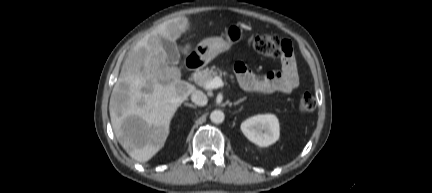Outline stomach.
I'll return each mask as SVG.
<instances>
[{
  "mask_svg": "<svg viewBox=\"0 0 432 193\" xmlns=\"http://www.w3.org/2000/svg\"><path fill=\"white\" fill-rule=\"evenodd\" d=\"M226 40L222 37L203 39L195 49L196 54L205 63L210 62L220 53L231 48L243 38V29L239 23H231L225 28Z\"/></svg>",
  "mask_w": 432,
  "mask_h": 193,
  "instance_id": "1",
  "label": "stomach"
}]
</instances>
